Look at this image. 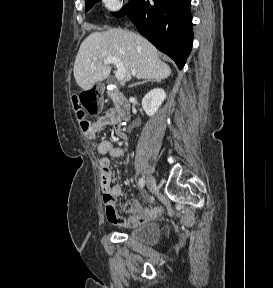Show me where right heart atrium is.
Listing matches in <instances>:
<instances>
[{
    "mask_svg": "<svg viewBox=\"0 0 273 288\" xmlns=\"http://www.w3.org/2000/svg\"><path fill=\"white\" fill-rule=\"evenodd\" d=\"M102 2L109 12H116L122 7L124 0H102Z\"/></svg>",
    "mask_w": 273,
    "mask_h": 288,
    "instance_id": "right-heart-atrium-1",
    "label": "right heart atrium"
}]
</instances>
